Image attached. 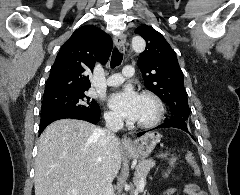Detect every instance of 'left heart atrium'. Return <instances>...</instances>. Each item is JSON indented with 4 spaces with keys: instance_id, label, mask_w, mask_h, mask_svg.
<instances>
[{
    "instance_id": "left-heart-atrium-1",
    "label": "left heart atrium",
    "mask_w": 240,
    "mask_h": 195,
    "mask_svg": "<svg viewBox=\"0 0 240 195\" xmlns=\"http://www.w3.org/2000/svg\"><path fill=\"white\" fill-rule=\"evenodd\" d=\"M140 99L138 93L131 89L114 94L111 98L112 106L127 120L136 121Z\"/></svg>"
}]
</instances>
